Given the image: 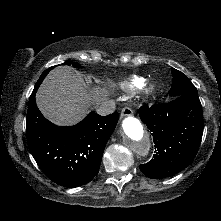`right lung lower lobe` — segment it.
<instances>
[{
  "label": "right lung lower lobe",
  "instance_id": "98d812e1",
  "mask_svg": "<svg viewBox=\"0 0 221 221\" xmlns=\"http://www.w3.org/2000/svg\"><path fill=\"white\" fill-rule=\"evenodd\" d=\"M44 79V78H43ZM38 80L28 103L26 122L29 149L45 175L64 187L90 182L99 172L106 143L118 122V113L91 112L74 126L58 127L39 111L35 101Z\"/></svg>",
  "mask_w": 221,
  "mask_h": 221
}]
</instances>
